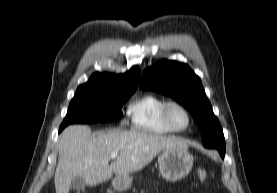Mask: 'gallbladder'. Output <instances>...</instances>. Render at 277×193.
Segmentation results:
<instances>
[{
	"mask_svg": "<svg viewBox=\"0 0 277 193\" xmlns=\"http://www.w3.org/2000/svg\"><path fill=\"white\" fill-rule=\"evenodd\" d=\"M86 185L87 184H86L85 180L82 177L78 176L72 180L71 189L83 190L86 187Z\"/></svg>",
	"mask_w": 277,
	"mask_h": 193,
	"instance_id": "gallbladder-1",
	"label": "gallbladder"
}]
</instances>
